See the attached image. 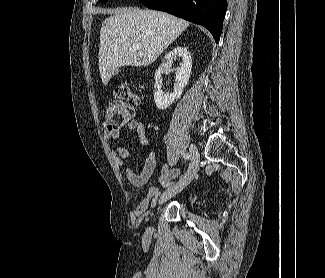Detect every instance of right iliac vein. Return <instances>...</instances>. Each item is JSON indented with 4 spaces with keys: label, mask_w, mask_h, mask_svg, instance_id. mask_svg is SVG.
I'll use <instances>...</instances> for the list:
<instances>
[{
    "label": "right iliac vein",
    "mask_w": 325,
    "mask_h": 278,
    "mask_svg": "<svg viewBox=\"0 0 325 278\" xmlns=\"http://www.w3.org/2000/svg\"><path fill=\"white\" fill-rule=\"evenodd\" d=\"M190 154H191L192 162L189 167V170L180 181H178L174 185H171L162 193L159 199V204L165 203L168 199H170L177 193L181 192L187 185L190 184V182L196 176L199 170L200 155L197 147L194 144H191L190 146Z\"/></svg>",
    "instance_id": "63e3f726"
}]
</instances>
